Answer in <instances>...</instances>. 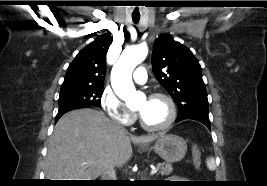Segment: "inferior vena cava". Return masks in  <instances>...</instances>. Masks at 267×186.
Wrapping results in <instances>:
<instances>
[{
	"label": "inferior vena cava",
	"instance_id": "602c4592",
	"mask_svg": "<svg viewBox=\"0 0 267 186\" xmlns=\"http://www.w3.org/2000/svg\"><path fill=\"white\" fill-rule=\"evenodd\" d=\"M121 131H127L123 126L118 125ZM102 180H116V172L114 166H109L106 171L102 174Z\"/></svg>",
	"mask_w": 267,
	"mask_h": 186
}]
</instances>
